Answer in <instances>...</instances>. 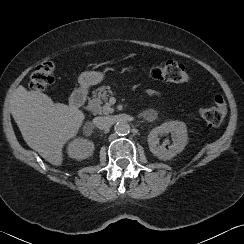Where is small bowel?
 I'll use <instances>...</instances> for the list:
<instances>
[{"label":"small bowel","mask_w":244,"mask_h":244,"mask_svg":"<svg viewBox=\"0 0 244 244\" xmlns=\"http://www.w3.org/2000/svg\"><path fill=\"white\" fill-rule=\"evenodd\" d=\"M148 94L149 95H157L158 93L157 92H154V91H149Z\"/></svg>","instance_id":"obj_1"}]
</instances>
